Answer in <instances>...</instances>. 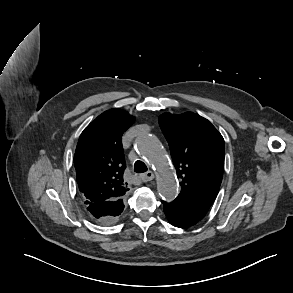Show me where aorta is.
<instances>
[{
  "label": "aorta",
  "instance_id": "obj_1",
  "mask_svg": "<svg viewBox=\"0 0 293 293\" xmlns=\"http://www.w3.org/2000/svg\"><path fill=\"white\" fill-rule=\"evenodd\" d=\"M135 145L141 157L155 170L157 174V190L166 200H173L178 195V186L170 160L161 144L151 134L137 137Z\"/></svg>",
  "mask_w": 293,
  "mask_h": 293
}]
</instances>
